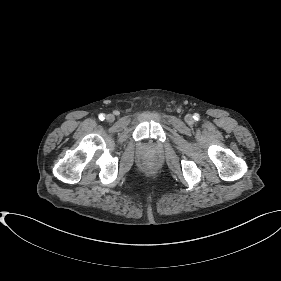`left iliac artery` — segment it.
Instances as JSON below:
<instances>
[{
	"label": "left iliac artery",
	"mask_w": 281,
	"mask_h": 281,
	"mask_svg": "<svg viewBox=\"0 0 281 281\" xmlns=\"http://www.w3.org/2000/svg\"><path fill=\"white\" fill-rule=\"evenodd\" d=\"M193 117H194L195 120H198L199 119V114H195Z\"/></svg>",
	"instance_id": "44dca946"
}]
</instances>
